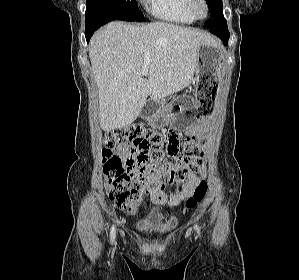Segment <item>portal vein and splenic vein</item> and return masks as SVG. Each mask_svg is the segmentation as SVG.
Returning <instances> with one entry per match:
<instances>
[{"mask_svg":"<svg viewBox=\"0 0 299 280\" xmlns=\"http://www.w3.org/2000/svg\"><path fill=\"white\" fill-rule=\"evenodd\" d=\"M143 57H144V59H145L146 61H149V60H150V54H149V53H145V54L143 55Z\"/></svg>","mask_w":299,"mask_h":280,"instance_id":"1","label":"portal vein and splenic vein"}]
</instances>
